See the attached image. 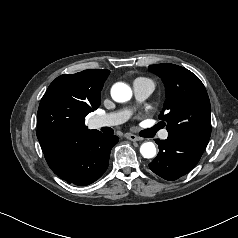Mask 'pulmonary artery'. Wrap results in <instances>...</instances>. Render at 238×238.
Wrapping results in <instances>:
<instances>
[{
	"label": "pulmonary artery",
	"mask_w": 238,
	"mask_h": 238,
	"mask_svg": "<svg viewBox=\"0 0 238 238\" xmlns=\"http://www.w3.org/2000/svg\"><path fill=\"white\" fill-rule=\"evenodd\" d=\"M154 88L155 85L153 81L149 79H138L135 80L133 83L134 94L137 100L139 101H144L145 99H147L154 91ZM129 115H130L129 111H119L107 115H101L95 118V126L100 128L118 125L126 121ZM167 136L168 132L163 131L162 138L166 139Z\"/></svg>",
	"instance_id": "obj_1"
}]
</instances>
